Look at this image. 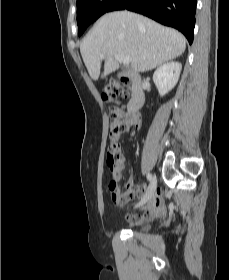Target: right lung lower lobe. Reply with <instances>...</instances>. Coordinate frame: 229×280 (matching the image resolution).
<instances>
[{
	"instance_id": "98d812e1",
	"label": "right lung lower lobe",
	"mask_w": 229,
	"mask_h": 280,
	"mask_svg": "<svg viewBox=\"0 0 229 280\" xmlns=\"http://www.w3.org/2000/svg\"><path fill=\"white\" fill-rule=\"evenodd\" d=\"M197 0H117L110 11L130 10L181 31L193 42Z\"/></svg>"
}]
</instances>
